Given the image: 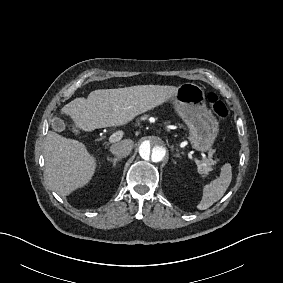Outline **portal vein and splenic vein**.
Listing matches in <instances>:
<instances>
[{"instance_id":"1","label":"portal vein and splenic vein","mask_w":283,"mask_h":283,"mask_svg":"<svg viewBox=\"0 0 283 283\" xmlns=\"http://www.w3.org/2000/svg\"><path fill=\"white\" fill-rule=\"evenodd\" d=\"M121 137H122V134H121L120 132H116V133L112 134V135L109 137L108 143H109V144L116 143V142H118V141L121 139ZM189 157H192V155L189 154ZM194 163H195L196 165H199V164L201 163V160H200L199 158H196V159L194 160ZM204 179H205L207 182H210L211 180H214V179H215V176H214V175H211V176L205 175V176H204Z\"/></svg>"}]
</instances>
